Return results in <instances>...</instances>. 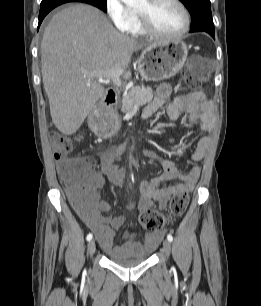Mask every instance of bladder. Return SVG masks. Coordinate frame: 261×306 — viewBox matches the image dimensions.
<instances>
[{
    "mask_svg": "<svg viewBox=\"0 0 261 306\" xmlns=\"http://www.w3.org/2000/svg\"><path fill=\"white\" fill-rule=\"evenodd\" d=\"M149 253L125 254L122 256H108V259L113 264L130 268L146 262L149 258Z\"/></svg>",
    "mask_w": 261,
    "mask_h": 306,
    "instance_id": "obj_1",
    "label": "bladder"
}]
</instances>
